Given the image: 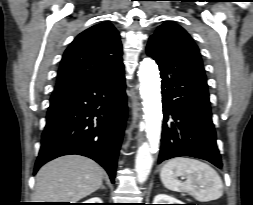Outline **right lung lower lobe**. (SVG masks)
<instances>
[{
  "label": "right lung lower lobe",
  "instance_id": "obj_1",
  "mask_svg": "<svg viewBox=\"0 0 253 205\" xmlns=\"http://www.w3.org/2000/svg\"><path fill=\"white\" fill-rule=\"evenodd\" d=\"M126 118L123 67L101 79L55 90L34 173L56 157L79 154L98 162L114 183Z\"/></svg>",
  "mask_w": 253,
  "mask_h": 205
}]
</instances>
